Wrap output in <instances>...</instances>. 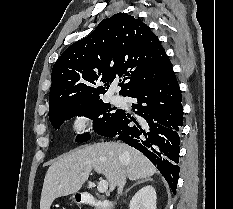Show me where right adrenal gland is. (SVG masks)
<instances>
[{
  "label": "right adrenal gland",
  "mask_w": 233,
  "mask_h": 209,
  "mask_svg": "<svg viewBox=\"0 0 233 209\" xmlns=\"http://www.w3.org/2000/svg\"><path fill=\"white\" fill-rule=\"evenodd\" d=\"M152 180H153L152 178L148 177V178H144V179H142V180L136 182L135 184H133L130 188H128V189L125 191V195H127V193H128L134 186H136L137 184H141V183H143V182L152 181Z\"/></svg>",
  "instance_id": "2a0ac1e0"
}]
</instances>
